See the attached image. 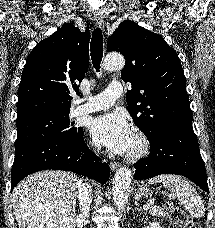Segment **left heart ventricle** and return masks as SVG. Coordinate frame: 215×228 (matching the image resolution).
I'll return each mask as SVG.
<instances>
[{
    "label": "left heart ventricle",
    "mask_w": 215,
    "mask_h": 228,
    "mask_svg": "<svg viewBox=\"0 0 215 228\" xmlns=\"http://www.w3.org/2000/svg\"><path fill=\"white\" fill-rule=\"evenodd\" d=\"M134 146H135V139L133 140V143H132V146H131L130 150H131ZM130 150H129V151H130Z\"/></svg>",
    "instance_id": "obj_1"
}]
</instances>
